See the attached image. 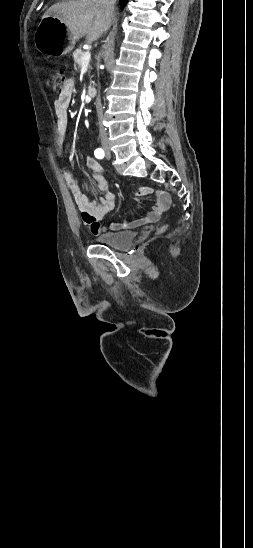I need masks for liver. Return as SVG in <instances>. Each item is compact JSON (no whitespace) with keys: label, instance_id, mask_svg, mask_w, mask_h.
<instances>
[{"label":"liver","instance_id":"liver-1","mask_svg":"<svg viewBox=\"0 0 253 548\" xmlns=\"http://www.w3.org/2000/svg\"><path fill=\"white\" fill-rule=\"evenodd\" d=\"M50 16L58 18L72 38L78 39L87 35L89 41H96L111 23V20L108 22L106 19L100 0L55 3L49 7L43 18Z\"/></svg>","mask_w":253,"mask_h":548}]
</instances>
